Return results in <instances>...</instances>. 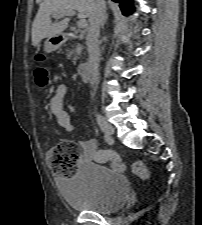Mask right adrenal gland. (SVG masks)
Returning a JSON list of instances; mask_svg holds the SVG:
<instances>
[{"instance_id": "right-adrenal-gland-1", "label": "right adrenal gland", "mask_w": 202, "mask_h": 225, "mask_svg": "<svg viewBox=\"0 0 202 225\" xmlns=\"http://www.w3.org/2000/svg\"><path fill=\"white\" fill-rule=\"evenodd\" d=\"M107 19H108V14H106L105 15V17H104V20H103V22H102V28L104 27V25L106 24V22H107Z\"/></svg>"}]
</instances>
